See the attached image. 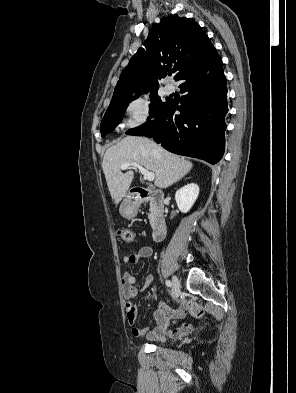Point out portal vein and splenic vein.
<instances>
[{
	"instance_id": "portal-vein-and-splenic-vein-1",
	"label": "portal vein and splenic vein",
	"mask_w": 296,
	"mask_h": 393,
	"mask_svg": "<svg viewBox=\"0 0 296 393\" xmlns=\"http://www.w3.org/2000/svg\"><path fill=\"white\" fill-rule=\"evenodd\" d=\"M130 166H133L137 169H139V172L144 176L145 179H147L148 181H153L155 178V174L152 172H149L148 170H146L144 167H142L141 165H139L136 162H127L121 165L120 169L121 170H126L127 168H129Z\"/></svg>"
}]
</instances>
